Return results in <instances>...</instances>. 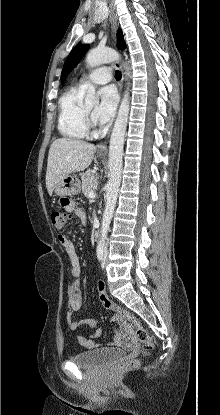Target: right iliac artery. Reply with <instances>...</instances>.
I'll return each mask as SVG.
<instances>
[{"label":"right iliac artery","instance_id":"right-iliac-artery-1","mask_svg":"<svg viewBox=\"0 0 220 415\" xmlns=\"http://www.w3.org/2000/svg\"><path fill=\"white\" fill-rule=\"evenodd\" d=\"M97 258L99 261H102L103 259V246L102 245H99L97 247Z\"/></svg>","mask_w":220,"mask_h":415}]
</instances>
